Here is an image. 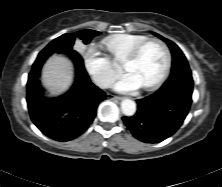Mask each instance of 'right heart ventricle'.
<instances>
[{"instance_id":"right-heart-ventricle-1","label":"right heart ventricle","mask_w":222,"mask_h":187,"mask_svg":"<svg viewBox=\"0 0 222 187\" xmlns=\"http://www.w3.org/2000/svg\"><path fill=\"white\" fill-rule=\"evenodd\" d=\"M148 37L136 34H116L103 40V45L116 62H123L126 56Z\"/></svg>"}]
</instances>
